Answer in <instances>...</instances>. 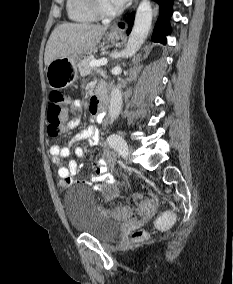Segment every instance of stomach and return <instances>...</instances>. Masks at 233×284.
Wrapping results in <instances>:
<instances>
[{"instance_id": "1", "label": "stomach", "mask_w": 233, "mask_h": 284, "mask_svg": "<svg viewBox=\"0 0 233 284\" xmlns=\"http://www.w3.org/2000/svg\"><path fill=\"white\" fill-rule=\"evenodd\" d=\"M108 41H118L122 36L115 32L106 35ZM87 54V51L74 53L68 57L53 60L46 69L47 82L52 89L68 87L78 78L77 63Z\"/></svg>"}]
</instances>
